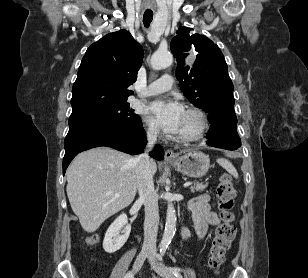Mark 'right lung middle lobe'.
I'll list each match as a JSON object with an SVG mask.
<instances>
[{
  "instance_id": "dd1d6c3e",
  "label": "right lung middle lobe",
  "mask_w": 308,
  "mask_h": 278,
  "mask_svg": "<svg viewBox=\"0 0 308 278\" xmlns=\"http://www.w3.org/2000/svg\"><path fill=\"white\" fill-rule=\"evenodd\" d=\"M68 123L70 128L84 125L134 128L142 125L140 117L130 110L127 102L70 116Z\"/></svg>"
}]
</instances>
